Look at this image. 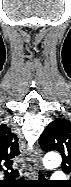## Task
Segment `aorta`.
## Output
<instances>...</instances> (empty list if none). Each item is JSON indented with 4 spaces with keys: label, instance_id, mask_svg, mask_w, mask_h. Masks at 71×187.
Masks as SVG:
<instances>
[{
    "label": "aorta",
    "instance_id": "1",
    "mask_svg": "<svg viewBox=\"0 0 71 187\" xmlns=\"http://www.w3.org/2000/svg\"><path fill=\"white\" fill-rule=\"evenodd\" d=\"M61 164V156L56 152H50L44 157V165L48 168L57 167Z\"/></svg>",
    "mask_w": 71,
    "mask_h": 187
}]
</instances>
